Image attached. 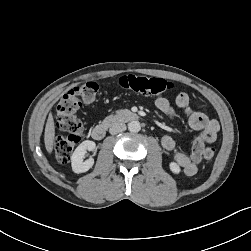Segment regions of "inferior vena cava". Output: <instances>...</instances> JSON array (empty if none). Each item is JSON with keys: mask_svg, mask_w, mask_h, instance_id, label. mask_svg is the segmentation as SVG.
I'll use <instances>...</instances> for the list:
<instances>
[{"mask_svg": "<svg viewBox=\"0 0 251 251\" xmlns=\"http://www.w3.org/2000/svg\"><path fill=\"white\" fill-rule=\"evenodd\" d=\"M125 130H126V125L124 123L117 122L110 127L109 132L110 134L115 135Z\"/></svg>", "mask_w": 251, "mask_h": 251, "instance_id": "inferior-vena-cava-1", "label": "inferior vena cava"}]
</instances>
